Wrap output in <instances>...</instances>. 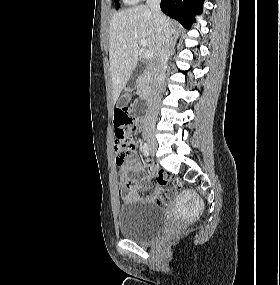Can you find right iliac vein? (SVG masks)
Returning <instances> with one entry per match:
<instances>
[{
	"instance_id": "obj_1",
	"label": "right iliac vein",
	"mask_w": 280,
	"mask_h": 285,
	"mask_svg": "<svg viewBox=\"0 0 280 285\" xmlns=\"http://www.w3.org/2000/svg\"><path fill=\"white\" fill-rule=\"evenodd\" d=\"M145 138L148 142L149 149L151 150L152 154H154L157 149V142L154 138V134L152 132H147L145 134Z\"/></svg>"
}]
</instances>
